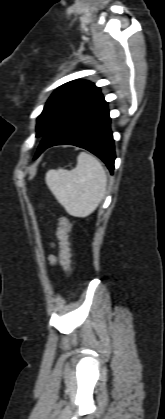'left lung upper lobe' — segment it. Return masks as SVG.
<instances>
[{"label":"left lung upper lobe","mask_w":165,"mask_h":419,"mask_svg":"<svg viewBox=\"0 0 165 419\" xmlns=\"http://www.w3.org/2000/svg\"><path fill=\"white\" fill-rule=\"evenodd\" d=\"M98 93L100 89L85 80H74L59 87L37 118L36 137H44L71 109Z\"/></svg>","instance_id":"obj_1"}]
</instances>
